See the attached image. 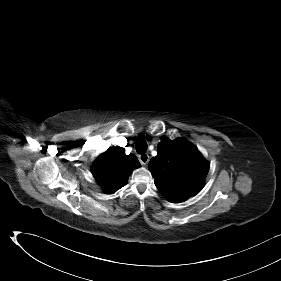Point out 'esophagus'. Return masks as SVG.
I'll list each match as a JSON object with an SVG mask.
<instances>
[{
    "mask_svg": "<svg viewBox=\"0 0 281 281\" xmlns=\"http://www.w3.org/2000/svg\"><path fill=\"white\" fill-rule=\"evenodd\" d=\"M139 161L142 165H146L149 162V155L147 153L139 155Z\"/></svg>",
    "mask_w": 281,
    "mask_h": 281,
    "instance_id": "esophagus-1",
    "label": "esophagus"
}]
</instances>
